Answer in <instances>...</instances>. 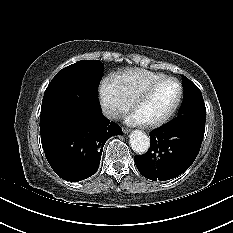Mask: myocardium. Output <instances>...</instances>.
<instances>
[{"label": "myocardium", "instance_id": "f54148a6", "mask_svg": "<svg viewBox=\"0 0 233 233\" xmlns=\"http://www.w3.org/2000/svg\"><path fill=\"white\" fill-rule=\"evenodd\" d=\"M162 81H171L173 83H175L176 88H177V94H176V98L173 102V104L171 105V107L168 109V111L161 116L160 118L156 119V120H152V121H146L144 123L145 126L147 127H159L161 125H163L164 123H166L171 117L172 115L175 113V111L177 110L178 106L180 105L181 99H182V86L181 83L178 81V79H176L175 77L172 76H161L159 78H156L154 80H152L151 82H149L144 88H142L134 97L132 100V105H133V109L136 108L137 104L144 98L147 96V94L150 92V90L158 83L162 82Z\"/></svg>", "mask_w": 233, "mask_h": 233}]
</instances>
